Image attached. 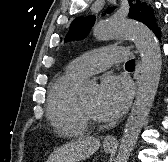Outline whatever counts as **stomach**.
Returning a JSON list of instances; mask_svg holds the SVG:
<instances>
[{
	"mask_svg": "<svg viewBox=\"0 0 168 162\" xmlns=\"http://www.w3.org/2000/svg\"><path fill=\"white\" fill-rule=\"evenodd\" d=\"M104 151L106 153H110V152L114 151V147L113 146H104Z\"/></svg>",
	"mask_w": 168,
	"mask_h": 162,
	"instance_id": "1",
	"label": "stomach"
}]
</instances>
